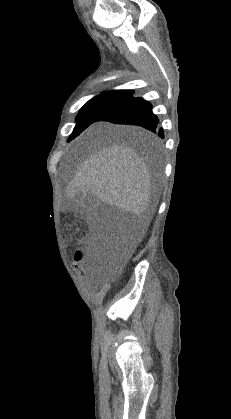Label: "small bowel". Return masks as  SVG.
<instances>
[{
    "label": "small bowel",
    "mask_w": 231,
    "mask_h": 419,
    "mask_svg": "<svg viewBox=\"0 0 231 419\" xmlns=\"http://www.w3.org/2000/svg\"><path fill=\"white\" fill-rule=\"evenodd\" d=\"M81 275H82V277H86V272L85 271H82L81 272Z\"/></svg>",
    "instance_id": "obj_1"
}]
</instances>
